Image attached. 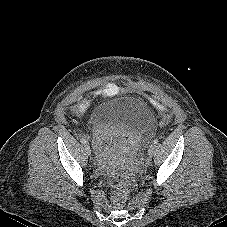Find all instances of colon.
Segmentation results:
<instances>
[{"label": "colon", "mask_w": 227, "mask_h": 227, "mask_svg": "<svg viewBox=\"0 0 227 227\" xmlns=\"http://www.w3.org/2000/svg\"><path fill=\"white\" fill-rule=\"evenodd\" d=\"M170 120L167 117L164 122L167 123ZM112 186V203L115 207H121L125 203L131 189L134 186V178L127 174H116L111 181Z\"/></svg>", "instance_id": "colon-1"}]
</instances>
